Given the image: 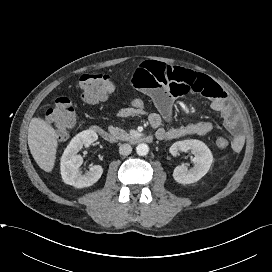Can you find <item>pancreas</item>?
<instances>
[{
	"instance_id": "obj_1",
	"label": "pancreas",
	"mask_w": 272,
	"mask_h": 272,
	"mask_svg": "<svg viewBox=\"0 0 272 272\" xmlns=\"http://www.w3.org/2000/svg\"><path fill=\"white\" fill-rule=\"evenodd\" d=\"M109 133L116 139L119 140H130V135L123 129L110 125L108 127Z\"/></svg>"
}]
</instances>
